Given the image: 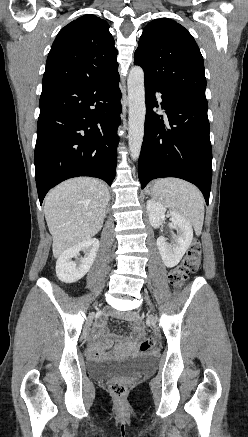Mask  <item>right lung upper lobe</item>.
<instances>
[{
	"instance_id": "obj_1",
	"label": "right lung upper lobe",
	"mask_w": 248,
	"mask_h": 437,
	"mask_svg": "<svg viewBox=\"0 0 248 437\" xmlns=\"http://www.w3.org/2000/svg\"><path fill=\"white\" fill-rule=\"evenodd\" d=\"M117 50L106 21L84 15L66 25L49 52L42 87L84 84L118 71Z\"/></svg>"
}]
</instances>
